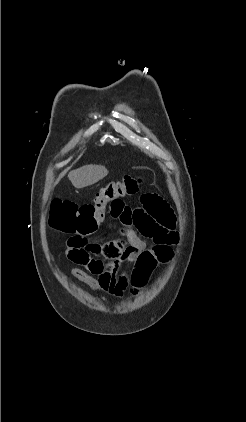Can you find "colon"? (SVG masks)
Instances as JSON below:
<instances>
[{
  "label": "colon",
  "mask_w": 246,
  "mask_h": 422,
  "mask_svg": "<svg viewBox=\"0 0 246 422\" xmlns=\"http://www.w3.org/2000/svg\"><path fill=\"white\" fill-rule=\"evenodd\" d=\"M141 183V178L126 175L123 179L101 188L89 203L54 200L49 210V225L65 233L90 235L98 230L112 208L120 209L123 206V198L138 192ZM171 256V251L160 247L140 252L132 265V292L136 294L142 289L157 265L166 263Z\"/></svg>",
  "instance_id": "colon-1"
}]
</instances>
